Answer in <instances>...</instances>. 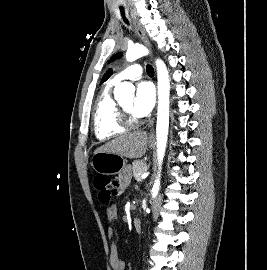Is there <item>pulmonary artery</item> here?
Returning <instances> with one entry per match:
<instances>
[{"instance_id": "obj_1", "label": "pulmonary artery", "mask_w": 267, "mask_h": 270, "mask_svg": "<svg viewBox=\"0 0 267 270\" xmlns=\"http://www.w3.org/2000/svg\"><path fill=\"white\" fill-rule=\"evenodd\" d=\"M142 73H143L142 66L139 64H133L117 73L116 76L114 77V80L117 82L125 79L138 80L142 76Z\"/></svg>"}]
</instances>
